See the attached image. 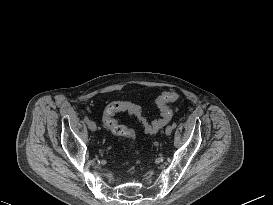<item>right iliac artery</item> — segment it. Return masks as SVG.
<instances>
[{"label":"right iliac artery","mask_w":273,"mask_h":205,"mask_svg":"<svg viewBox=\"0 0 273 205\" xmlns=\"http://www.w3.org/2000/svg\"><path fill=\"white\" fill-rule=\"evenodd\" d=\"M84 121H85L86 123H88V122H89V118H88L87 116H84Z\"/></svg>","instance_id":"82829eb1"}]
</instances>
